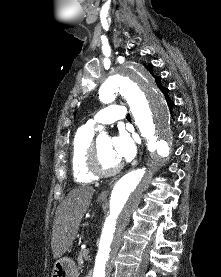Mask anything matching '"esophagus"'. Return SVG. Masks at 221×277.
<instances>
[{
  "instance_id": "34e87169",
  "label": "esophagus",
  "mask_w": 221,
  "mask_h": 277,
  "mask_svg": "<svg viewBox=\"0 0 221 277\" xmlns=\"http://www.w3.org/2000/svg\"><path fill=\"white\" fill-rule=\"evenodd\" d=\"M116 178H114V179H112L110 182H109V186L110 187H112L114 184H115V182H116ZM108 194H109V190L107 189V190H104V191H102L101 193H100V195H99V199H106L107 198V196H108Z\"/></svg>"
}]
</instances>
